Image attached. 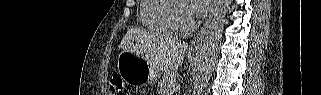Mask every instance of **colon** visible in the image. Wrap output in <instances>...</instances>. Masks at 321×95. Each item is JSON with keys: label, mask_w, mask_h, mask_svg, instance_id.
Returning <instances> with one entry per match:
<instances>
[{"label": "colon", "mask_w": 321, "mask_h": 95, "mask_svg": "<svg viewBox=\"0 0 321 95\" xmlns=\"http://www.w3.org/2000/svg\"><path fill=\"white\" fill-rule=\"evenodd\" d=\"M110 88L115 94H118V95L129 94L126 85L123 83L122 79L117 74H114L111 77Z\"/></svg>", "instance_id": "1"}]
</instances>
